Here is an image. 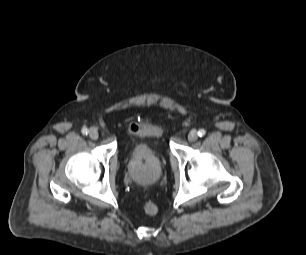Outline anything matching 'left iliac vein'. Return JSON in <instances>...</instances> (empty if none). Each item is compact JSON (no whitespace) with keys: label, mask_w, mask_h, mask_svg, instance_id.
Masks as SVG:
<instances>
[{"label":"left iliac vein","mask_w":306,"mask_h":255,"mask_svg":"<svg viewBox=\"0 0 306 255\" xmlns=\"http://www.w3.org/2000/svg\"><path fill=\"white\" fill-rule=\"evenodd\" d=\"M198 136H197V132L196 130H191L188 134V140L190 142H194L195 140H197Z\"/></svg>","instance_id":"1"}]
</instances>
